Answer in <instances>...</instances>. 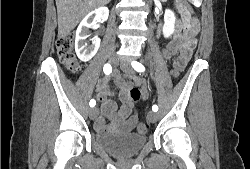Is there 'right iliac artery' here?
Wrapping results in <instances>:
<instances>
[{
  "mask_svg": "<svg viewBox=\"0 0 250 169\" xmlns=\"http://www.w3.org/2000/svg\"><path fill=\"white\" fill-rule=\"evenodd\" d=\"M103 71L106 75H109L112 72V67L110 64H105L103 67ZM90 107H94L96 105V101L94 99L90 100Z\"/></svg>",
  "mask_w": 250,
  "mask_h": 169,
  "instance_id": "1",
  "label": "right iliac artery"
}]
</instances>
